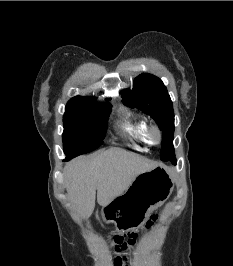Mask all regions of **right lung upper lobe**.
I'll return each mask as SVG.
<instances>
[{"instance_id": "cb5924a9", "label": "right lung upper lobe", "mask_w": 233, "mask_h": 266, "mask_svg": "<svg viewBox=\"0 0 233 266\" xmlns=\"http://www.w3.org/2000/svg\"><path fill=\"white\" fill-rule=\"evenodd\" d=\"M83 100H92V98L76 96V97L72 98L68 103H76V102H80V101H83Z\"/></svg>"}]
</instances>
